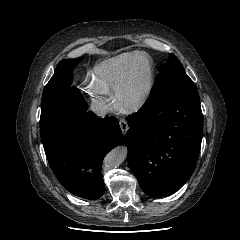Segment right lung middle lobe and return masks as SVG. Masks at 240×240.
<instances>
[{"instance_id":"right-lung-middle-lobe-1","label":"right lung middle lobe","mask_w":240,"mask_h":240,"mask_svg":"<svg viewBox=\"0 0 240 240\" xmlns=\"http://www.w3.org/2000/svg\"><path fill=\"white\" fill-rule=\"evenodd\" d=\"M82 59L83 57L65 59L57 65L54 75L43 90L40 125L59 110H68L70 99L80 94L77 88L72 87L71 84L73 69Z\"/></svg>"}]
</instances>
